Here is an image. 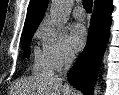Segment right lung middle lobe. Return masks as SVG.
Here are the masks:
<instances>
[{
	"label": "right lung middle lobe",
	"instance_id": "obj_1",
	"mask_svg": "<svg viewBox=\"0 0 119 95\" xmlns=\"http://www.w3.org/2000/svg\"><path fill=\"white\" fill-rule=\"evenodd\" d=\"M36 30H31L25 32L21 36V44L24 50L25 57L28 58L30 56V42L31 38Z\"/></svg>",
	"mask_w": 119,
	"mask_h": 95
}]
</instances>
